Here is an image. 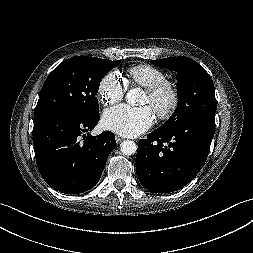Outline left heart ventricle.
Returning <instances> with one entry per match:
<instances>
[{"mask_svg": "<svg viewBox=\"0 0 253 253\" xmlns=\"http://www.w3.org/2000/svg\"><path fill=\"white\" fill-rule=\"evenodd\" d=\"M143 104L151 106V99H150V97L147 93H145V96H144V99H143Z\"/></svg>", "mask_w": 253, "mask_h": 253, "instance_id": "b2bd125f", "label": "left heart ventricle"}]
</instances>
